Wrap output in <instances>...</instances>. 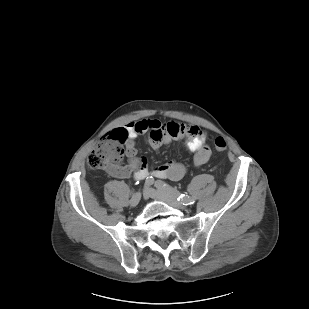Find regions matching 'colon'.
<instances>
[{"mask_svg": "<svg viewBox=\"0 0 309 309\" xmlns=\"http://www.w3.org/2000/svg\"><path fill=\"white\" fill-rule=\"evenodd\" d=\"M125 134L121 131H114L101 139L91 150L87 158V165L91 170H113L116 164L126 155L123 147ZM214 145L217 151H224L227 143L224 138H214Z\"/></svg>", "mask_w": 309, "mask_h": 309, "instance_id": "colon-1", "label": "colon"}]
</instances>
